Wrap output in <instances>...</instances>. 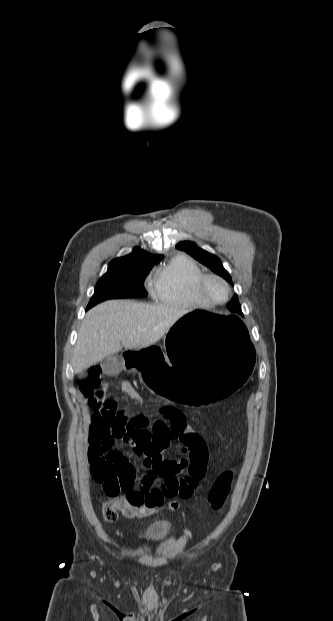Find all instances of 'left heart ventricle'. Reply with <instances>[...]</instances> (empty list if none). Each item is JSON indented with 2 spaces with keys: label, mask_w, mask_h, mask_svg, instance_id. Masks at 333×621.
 Instances as JSON below:
<instances>
[{
  "label": "left heart ventricle",
  "mask_w": 333,
  "mask_h": 621,
  "mask_svg": "<svg viewBox=\"0 0 333 621\" xmlns=\"http://www.w3.org/2000/svg\"><path fill=\"white\" fill-rule=\"evenodd\" d=\"M207 293L216 300H221L225 295L223 284L217 280H209L206 285Z\"/></svg>",
  "instance_id": "b2bd125f"
}]
</instances>
